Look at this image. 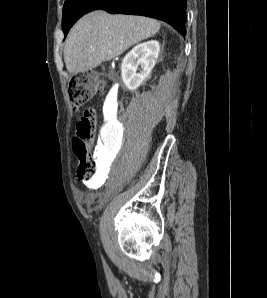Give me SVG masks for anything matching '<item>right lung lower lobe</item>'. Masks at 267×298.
Here are the masks:
<instances>
[{"label":"right lung lower lobe","instance_id":"obj_1","mask_svg":"<svg viewBox=\"0 0 267 298\" xmlns=\"http://www.w3.org/2000/svg\"><path fill=\"white\" fill-rule=\"evenodd\" d=\"M102 9L112 14H133L156 18L186 35V0H98L90 11Z\"/></svg>","mask_w":267,"mask_h":298}]
</instances>
